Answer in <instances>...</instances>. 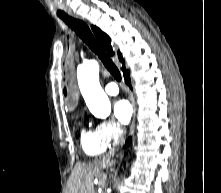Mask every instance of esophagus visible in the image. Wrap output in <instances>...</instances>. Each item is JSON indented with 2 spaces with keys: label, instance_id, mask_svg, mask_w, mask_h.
<instances>
[{
  "label": "esophagus",
  "instance_id": "obj_1",
  "mask_svg": "<svg viewBox=\"0 0 221 193\" xmlns=\"http://www.w3.org/2000/svg\"><path fill=\"white\" fill-rule=\"evenodd\" d=\"M76 17H78V16L76 15ZM133 106H134L133 118H132V123L130 124L131 128L129 129L131 132L134 130L133 127L135 125V117H136V107L134 104H133Z\"/></svg>",
  "mask_w": 221,
  "mask_h": 193
}]
</instances>
